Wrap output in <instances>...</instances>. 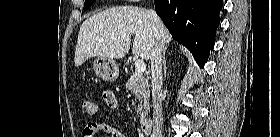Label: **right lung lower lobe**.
I'll list each match as a JSON object with an SVG mask.
<instances>
[{"instance_id":"right-lung-lower-lobe-1","label":"right lung lower lobe","mask_w":280,"mask_h":137,"mask_svg":"<svg viewBox=\"0 0 280 137\" xmlns=\"http://www.w3.org/2000/svg\"><path fill=\"white\" fill-rule=\"evenodd\" d=\"M157 14L173 38L203 66L215 43L223 0H154Z\"/></svg>"}]
</instances>
